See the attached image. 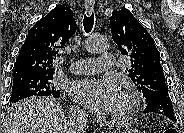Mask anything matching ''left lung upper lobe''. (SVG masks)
<instances>
[{
	"label": "left lung upper lobe",
	"instance_id": "1",
	"mask_svg": "<svg viewBox=\"0 0 184 133\" xmlns=\"http://www.w3.org/2000/svg\"><path fill=\"white\" fill-rule=\"evenodd\" d=\"M110 25L114 43L122 55L130 57L131 65L126 70L146 103L168 96L160 54L147 30L126 8L112 12Z\"/></svg>",
	"mask_w": 184,
	"mask_h": 133
}]
</instances>
